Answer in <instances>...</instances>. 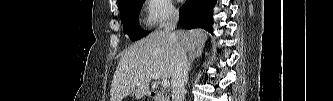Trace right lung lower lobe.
<instances>
[{"instance_id": "1", "label": "right lung lower lobe", "mask_w": 333, "mask_h": 101, "mask_svg": "<svg viewBox=\"0 0 333 101\" xmlns=\"http://www.w3.org/2000/svg\"><path fill=\"white\" fill-rule=\"evenodd\" d=\"M216 1L186 0L180 9V24L186 29L203 28L213 33L212 12Z\"/></svg>"}]
</instances>
